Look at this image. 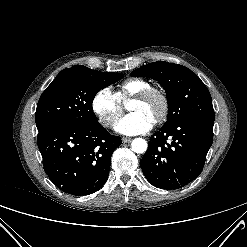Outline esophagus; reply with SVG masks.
Instances as JSON below:
<instances>
[{"instance_id":"esophagus-1","label":"esophagus","mask_w":247,"mask_h":247,"mask_svg":"<svg viewBox=\"0 0 247 247\" xmlns=\"http://www.w3.org/2000/svg\"><path fill=\"white\" fill-rule=\"evenodd\" d=\"M131 140H132L131 138H127V137L122 138L123 143H129V142H131Z\"/></svg>"}]
</instances>
